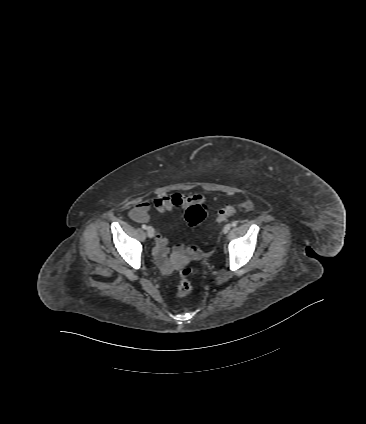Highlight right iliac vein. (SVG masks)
<instances>
[{
    "instance_id": "obj_1",
    "label": "right iliac vein",
    "mask_w": 366,
    "mask_h": 424,
    "mask_svg": "<svg viewBox=\"0 0 366 424\" xmlns=\"http://www.w3.org/2000/svg\"><path fill=\"white\" fill-rule=\"evenodd\" d=\"M147 235L152 238L154 237V229L152 227L147 228Z\"/></svg>"
}]
</instances>
